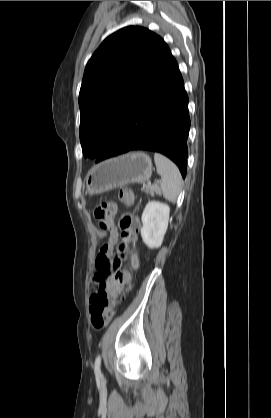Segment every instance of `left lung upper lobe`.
Here are the masks:
<instances>
[{
    "instance_id": "obj_1",
    "label": "left lung upper lobe",
    "mask_w": 271,
    "mask_h": 418,
    "mask_svg": "<svg viewBox=\"0 0 271 418\" xmlns=\"http://www.w3.org/2000/svg\"><path fill=\"white\" fill-rule=\"evenodd\" d=\"M171 52L162 38L129 26L107 37L88 61L79 93L84 157L98 158Z\"/></svg>"
}]
</instances>
